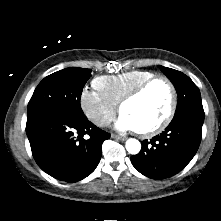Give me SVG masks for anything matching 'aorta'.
Listing matches in <instances>:
<instances>
[{"instance_id": "aorta-1", "label": "aorta", "mask_w": 221, "mask_h": 221, "mask_svg": "<svg viewBox=\"0 0 221 221\" xmlns=\"http://www.w3.org/2000/svg\"><path fill=\"white\" fill-rule=\"evenodd\" d=\"M125 147H126V150L132 155L138 154L141 150L140 142L134 138L128 139L126 141Z\"/></svg>"}]
</instances>
